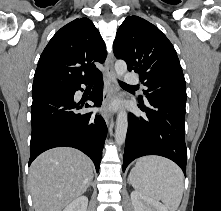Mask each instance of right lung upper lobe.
Returning a JSON list of instances; mask_svg holds the SVG:
<instances>
[{"label": "right lung upper lobe", "instance_id": "obj_1", "mask_svg": "<svg viewBox=\"0 0 221 211\" xmlns=\"http://www.w3.org/2000/svg\"><path fill=\"white\" fill-rule=\"evenodd\" d=\"M107 56L99 31L88 18H77L58 30L42 52L32 91L57 89L88 81L100 71L93 62Z\"/></svg>", "mask_w": 221, "mask_h": 211}]
</instances>
